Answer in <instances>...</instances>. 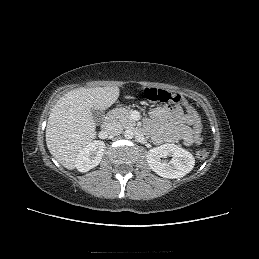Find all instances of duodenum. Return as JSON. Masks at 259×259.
Listing matches in <instances>:
<instances>
[{"label":"duodenum","mask_w":259,"mask_h":259,"mask_svg":"<svg viewBox=\"0 0 259 259\" xmlns=\"http://www.w3.org/2000/svg\"><path fill=\"white\" fill-rule=\"evenodd\" d=\"M112 121H113V114L109 113L102 123V128L103 129L109 128L112 124Z\"/></svg>","instance_id":"410a0bca"}]
</instances>
